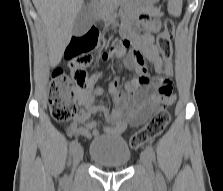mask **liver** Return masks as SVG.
<instances>
[{
	"label": "liver",
	"instance_id": "obj_1",
	"mask_svg": "<svg viewBox=\"0 0 223 191\" xmlns=\"http://www.w3.org/2000/svg\"><path fill=\"white\" fill-rule=\"evenodd\" d=\"M84 0H33L47 38L49 62L57 66L72 37V27Z\"/></svg>",
	"mask_w": 223,
	"mask_h": 191
}]
</instances>
